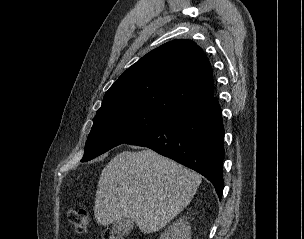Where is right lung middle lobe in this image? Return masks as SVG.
Returning a JSON list of instances; mask_svg holds the SVG:
<instances>
[{
	"label": "right lung middle lobe",
	"instance_id": "1",
	"mask_svg": "<svg viewBox=\"0 0 304 239\" xmlns=\"http://www.w3.org/2000/svg\"><path fill=\"white\" fill-rule=\"evenodd\" d=\"M170 117L144 108H124L98 114L85 145L82 162L150 131Z\"/></svg>",
	"mask_w": 304,
	"mask_h": 239
}]
</instances>
